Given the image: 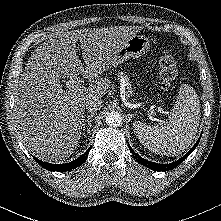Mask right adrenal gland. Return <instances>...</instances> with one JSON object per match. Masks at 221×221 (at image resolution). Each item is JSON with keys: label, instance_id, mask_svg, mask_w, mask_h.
<instances>
[{"label": "right adrenal gland", "instance_id": "right-adrenal-gland-1", "mask_svg": "<svg viewBox=\"0 0 221 221\" xmlns=\"http://www.w3.org/2000/svg\"><path fill=\"white\" fill-rule=\"evenodd\" d=\"M94 115H95V112H91V114H89V115L87 116V118L85 119V121H84V123H83V125H82L83 131L86 130V129H85V126H86V125L88 126V128H87V134L90 133V128H91V126H92V119H93Z\"/></svg>", "mask_w": 221, "mask_h": 221}]
</instances>
